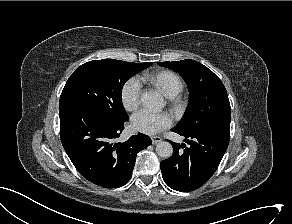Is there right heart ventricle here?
Listing matches in <instances>:
<instances>
[{
	"label": "right heart ventricle",
	"mask_w": 292,
	"mask_h": 224,
	"mask_svg": "<svg viewBox=\"0 0 292 224\" xmlns=\"http://www.w3.org/2000/svg\"><path fill=\"white\" fill-rule=\"evenodd\" d=\"M155 87H157L164 95L173 98L180 94L183 90V82L181 78L172 71H160L145 76Z\"/></svg>",
	"instance_id": "e07e8e85"
}]
</instances>
